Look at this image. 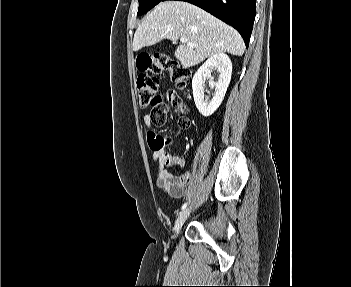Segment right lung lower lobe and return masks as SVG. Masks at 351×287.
Wrapping results in <instances>:
<instances>
[{"label":"right lung lower lobe","mask_w":351,"mask_h":287,"mask_svg":"<svg viewBox=\"0 0 351 287\" xmlns=\"http://www.w3.org/2000/svg\"><path fill=\"white\" fill-rule=\"evenodd\" d=\"M180 1L194 4L234 27L241 34L246 47H248L256 14V0Z\"/></svg>","instance_id":"obj_1"}]
</instances>
